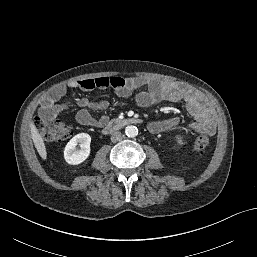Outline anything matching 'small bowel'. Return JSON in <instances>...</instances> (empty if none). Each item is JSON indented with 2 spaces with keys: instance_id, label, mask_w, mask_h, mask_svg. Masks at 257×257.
Returning <instances> with one entry per match:
<instances>
[{
  "instance_id": "1",
  "label": "small bowel",
  "mask_w": 257,
  "mask_h": 257,
  "mask_svg": "<svg viewBox=\"0 0 257 257\" xmlns=\"http://www.w3.org/2000/svg\"><path fill=\"white\" fill-rule=\"evenodd\" d=\"M95 88L106 89L113 88L117 95L124 101L131 99L134 91H137L134 102L139 107H149L153 104L168 101L180 102L186 104L188 113L194 118L195 122L190 125L194 132H207L210 135L215 131V124L211 112L204 99L195 91L186 86L168 81H157L143 77L123 78L119 76L98 77L83 79L78 81H69L66 84L57 86L50 95L43 99L41 112L48 114H57L64 106L57 105L55 102L63 96L68 89H81L90 91ZM80 110L76 113V121L84 126L100 127L107 121L106 116L95 118L91 112H100L106 109L108 103L105 100L90 101L85 97L77 100ZM179 123L178 117H172L164 120L153 121L148 129L153 134H159L169 131Z\"/></svg>"
}]
</instances>
